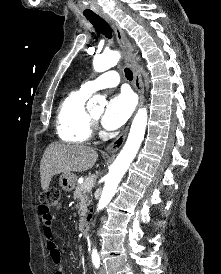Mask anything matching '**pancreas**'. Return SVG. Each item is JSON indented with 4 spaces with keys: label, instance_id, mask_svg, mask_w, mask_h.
Masks as SVG:
<instances>
[{
    "label": "pancreas",
    "instance_id": "obj_1",
    "mask_svg": "<svg viewBox=\"0 0 221 274\" xmlns=\"http://www.w3.org/2000/svg\"><path fill=\"white\" fill-rule=\"evenodd\" d=\"M86 184V179L82 184L77 185L73 197L75 200H77L76 207L78 208V214L80 216V225L83 224L85 219V214L87 211V207L89 206V199L87 193L90 189H85L84 186Z\"/></svg>",
    "mask_w": 221,
    "mask_h": 274
}]
</instances>
